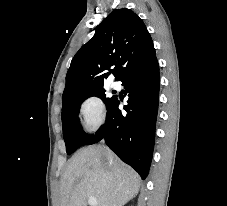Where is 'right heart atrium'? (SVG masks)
<instances>
[{
	"mask_svg": "<svg viewBox=\"0 0 227 206\" xmlns=\"http://www.w3.org/2000/svg\"><path fill=\"white\" fill-rule=\"evenodd\" d=\"M80 119L88 132L98 130L106 119L105 106L100 98L91 95L86 97L79 106Z\"/></svg>",
	"mask_w": 227,
	"mask_h": 206,
	"instance_id": "right-heart-atrium-1",
	"label": "right heart atrium"
}]
</instances>
